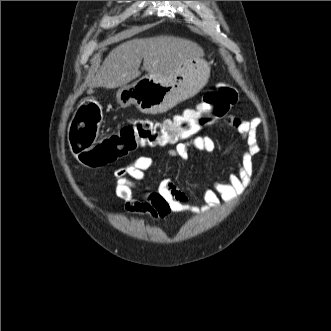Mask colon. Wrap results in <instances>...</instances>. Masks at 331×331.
Here are the masks:
<instances>
[{"label":"colon","mask_w":331,"mask_h":331,"mask_svg":"<svg viewBox=\"0 0 331 331\" xmlns=\"http://www.w3.org/2000/svg\"><path fill=\"white\" fill-rule=\"evenodd\" d=\"M237 98L234 87L221 84L207 92L195 108L182 114L163 120H136L100 139L97 133L102 122V108L96 100L89 99L81 103L71 121L70 150L83 165L106 166L140 146H167L194 136L225 117Z\"/></svg>","instance_id":"colon-1"}]
</instances>
